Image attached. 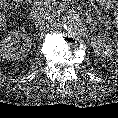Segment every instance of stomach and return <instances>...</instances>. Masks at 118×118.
Masks as SVG:
<instances>
[{
  "mask_svg": "<svg viewBox=\"0 0 118 118\" xmlns=\"http://www.w3.org/2000/svg\"><path fill=\"white\" fill-rule=\"evenodd\" d=\"M100 6L104 7L105 9H110L113 7L115 0H96Z\"/></svg>",
  "mask_w": 118,
  "mask_h": 118,
  "instance_id": "0dacf381",
  "label": "stomach"
}]
</instances>
